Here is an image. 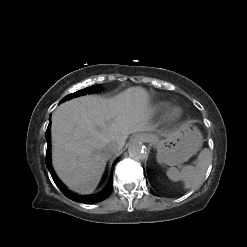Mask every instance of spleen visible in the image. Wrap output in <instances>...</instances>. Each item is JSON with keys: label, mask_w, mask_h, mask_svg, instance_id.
I'll list each match as a JSON object with an SVG mask.
<instances>
[{"label": "spleen", "mask_w": 247, "mask_h": 247, "mask_svg": "<svg viewBox=\"0 0 247 247\" xmlns=\"http://www.w3.org/2000/svg\"><path fill=\"white\" fill-rule=\"evenodd\" d=\"M196 166H185L181 171L175 167L167 170L166 174L172 181H183L185 189H194L204 180L206 171L212 162V155L209 149H203L198 155Z\"/></svg>", "instance_id": "3e777b00"}]
</instances>
